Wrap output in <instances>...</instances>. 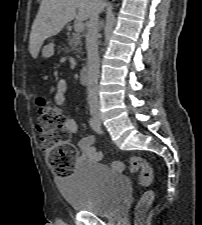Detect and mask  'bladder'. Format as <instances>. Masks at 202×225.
Listing matches in <instances>:
<instances>
[{"instance_id": "obj_1", "label": "bladder", "mask_w": 202, "mask_h": 225, "mask_svg": "<svg viewBox=\"0 0 202 225\" xmlns=\"http://www.w3.org/2000/svg\"><path fill=\"white\" fill-rule=\"evenodd\" d=\"M130 190L131 183L125 174L91 160L76 162L73 172L60 184L61 194L72 210L101 217L117 213Z\"/></svg>"}]
</instances>
